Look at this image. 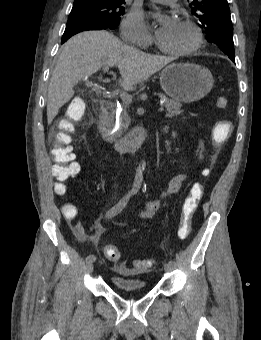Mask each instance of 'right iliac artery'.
I'll return each instance as SVG.
<instances>
[{"mask_svg": "<svg viewBox=\"0 0 261 340\" xmlns=\"http://www.w3.org/2000/svg\"><path fill=\"white\" fill-rule=\"evenodd\" d=\"M130 198V194L125 195L115 206H113L111 209H109L106 213V218L110 219L120 213L125 206L127 205ZM96 260V257L94 255H88L86 257L87 262H94Z\"/></svg>", "mask_w": 261, "mask_h": 340, "instance_id": "82829eb1", "label": "right iliac artery"}]
</instances>
